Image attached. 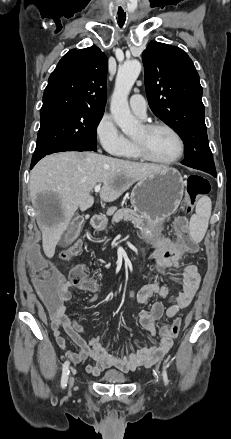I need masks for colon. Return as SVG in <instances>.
<instances>
[{"instance_id": "1", "label": "colon", "mask_w": 231, "mask_h": 439, "mask_svg": "<svg viewBox=\"0 0 231 439\" xmlns=\"http://www.w3.org/2000/svg\"><path fill=\"white\" fill-rule=\"evenodd\" d=\"M210 190V185L208 181L200 176L192 175L187 178V195L188 201L186 204V213L188 214L195 202L207 194ZM175 229L178 233V238L182 250L178 254L174 255L172 258L173 264H179L186 260L187 253H194L196 251V245L188 230V221L185 216L178 217L175 220ZM82 247L81 241H76L74 244L69 246L63 252V259H70L79 253ZM30 256H34L31 259L26 260V267L34 269L33 284L37 291V294L41 296V301L46 308L47 316L51 318H56V313L59 308V295L57 294L60 283L62 282V275L51 268V260L47 258L44 254L42 248L34 245L28 251ZM172 267L169 264L155 266L154 269L150 270L151 276L163 275V272H171ZM71 281L80 289L89 292H95L99 289V284L96 280L88 276L87 270L84 265L75 266L70 273ZM141 283H166L163 279H153L147 278L145 282ZM139 286H136L134 291ZM180 320H176L171 326L164 327L161 329L162 338L174 339L180 329Z\"/></svg>"}]
</instances>
